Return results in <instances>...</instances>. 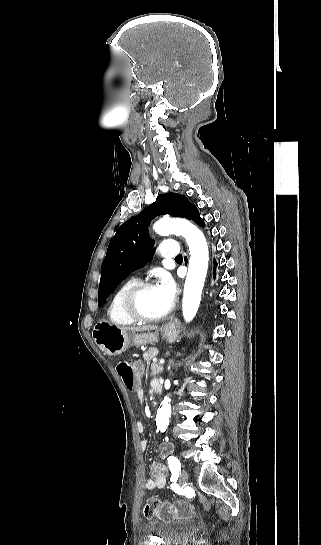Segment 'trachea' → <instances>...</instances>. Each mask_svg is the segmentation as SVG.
<instances>
[{
	"label": "trachea",
	"mask_w": 321,
	"mask_h": 545,
	"mask_svg": "<svg viewBox=\"0 0 321 545\" xmlns=\"http://www.w3.org/2000/svg\"><path fill=\"white\" fill-rule=\"evenodd\" d=\"M175 261H182V255H177V257H175Z\"/></svg>",
	"instance_id": "obj_1"
}]
</instances>
